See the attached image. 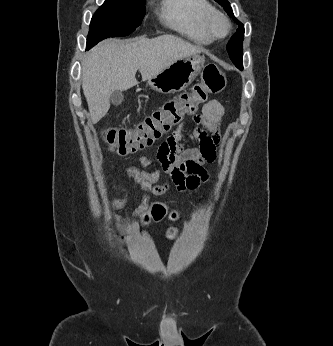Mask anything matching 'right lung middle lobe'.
<instances>
[{"label":"right lung middle lobe","instance_id":"obj_1","mask_svg":"<svg viewBox=\"0 0 333 346\" xmlns=\"http://www.w3.org/2000/svg\"><path fill=\"white\" fill-rule=\"evenodd\" d=\"M145 0H105L95 12L87 37V50L108 37L127 36L142 22Z\"/></svg>","mask_w":333,"mask_h":346}]
</instances>
